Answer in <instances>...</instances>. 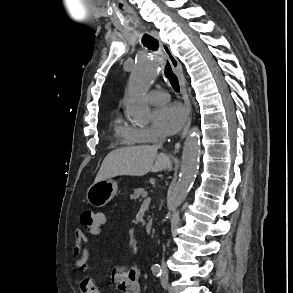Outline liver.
<instances>
[{"mask_svg": "<svg viewBox=\"0 0 293 293\" xmlns=\"http://www.w3.org/2000/svg\"><path fill=\"white\" fill-rule=\"evenodd\" d=\"M170 158L150 145L125 147L110 152L102 162L95 182L116 176H143L148 172L171 169Z\"/></svg>", "mask_w": 293, "mask_h": 293, "instance_id": "liver-1", "label": "liver"}]
</instances>
